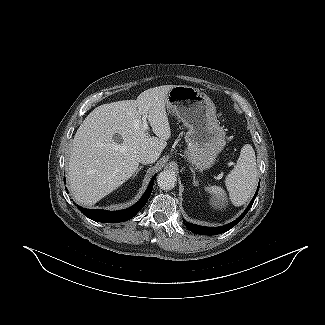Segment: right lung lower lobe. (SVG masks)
<instances>
[{
    "mask_svg": "<svg viewBox=\"0 0 325 325\" xmlns=\"http://www.w3.org/2000/svg\"><path fill=\"white\" fill-rule=\"evenodd\" d=\"M157 175H154V177L152 178L146 192L144 193V195L141 197V199L134 204L133 206L124 209V210H120V211H106V210H90V209H86L83 207H78V209L88 218L97 221V222H106V223H117V222H123V221H127L131 218H133L134 216L137 215V213L139 212V210L146 204V202L148 201L151 192H152V188H153V184H154V180L156 178ZM64 182H65V177H64Z\"/></svg>",
    "mask_w": 325,
    "mask_h": 325,
    "instance_id": "98d812e1",
    "label": "right lung lower lobe"
}]
</instances>
